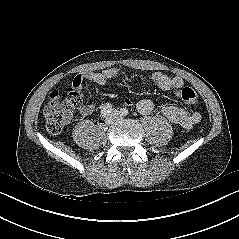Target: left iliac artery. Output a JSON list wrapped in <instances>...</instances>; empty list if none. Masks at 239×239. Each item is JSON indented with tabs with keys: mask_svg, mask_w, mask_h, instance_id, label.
Listing matches in <instances>:
<instances>
[{
	"mask_svg": "<svg viewBox=\"0 0 239 239\" xmlns=\"http://www.w3.org/2000/svg\"><path fill=\"white\" fill-rule=\"evenodd\" d=\"M120 112H121V115H122V116H127L128 113H129L128 110H127L126 108L121 109Z\"/></svg>",
	"mask_w": 239,
	"mask_h": 239,
	"instance_id": "left-iliac-artery-1",
	"label": "left iliac artery"
}]
</instances>
